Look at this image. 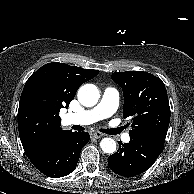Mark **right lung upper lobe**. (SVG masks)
Instances as JSON below:
<instances>
[{
	"label": "right lung upper lobe",
	"mask_w": 194,
	"mask_h": 194,
	"mask_svg": "<svg viewBox=\"0 0 194 194\" xmlns=\"http://www.w3.org/2000/svg\"><path fill=\"white\" fill-rule=\"evenodd\" d=\"M98 73V70L51 62L29 77L18 109L19 136L25 153L66 131L60 128V109L67 108L77 89Z\"/></svg>",
	"instance_id": "cb5924a9"
}]
</instances>
